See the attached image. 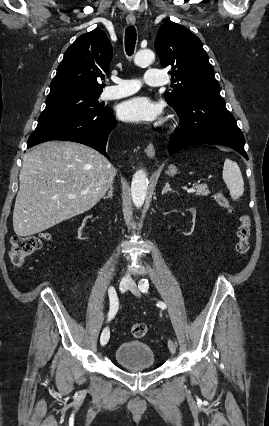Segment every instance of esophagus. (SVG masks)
Returning a JSON list of instances; mask_svg holds the SVG:
<instances>
[{
  "mask_svg": "<svg viewBox=\"0 0 269 426\" xmlns=\"http://www.w3.org/2000/svg\"><path fill=\"white\" fill-rule=\"evenodd\" d=\"M126 20H127V23L129 25H133L136 22L135 16H127ZM145 152H146V154H147V156L149 158H154L155 157V148H154V146L152 144H149L146 147Z\"/></svg>",
  "mask_w": 269,
  "mask_h": 426,
  "instance_id": "34e87169",
  "label": "esophagus"
}]
</instances>
